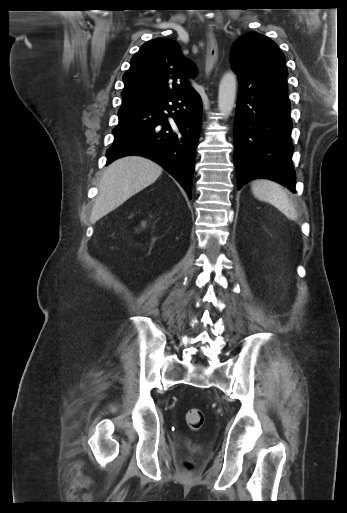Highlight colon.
<instances>
[{"instance_id":"obj_1","label":"colon","mask_w":347,"mask_h":513,"mask_svg":"<svg viewBox=\"0 0 347 513\" xmlns=\"http://www.w3.org/2000/svg\"><path fill=\"white\" fill-rule=\"evenodd\" d=\"M204 414L201 410L193 408L186 413V422L188 426L193 430H199L204 425ZM184 469L187 473L192 474L195 471V465L192 461L184 462Z\"/></svg>"}]
</instances>
